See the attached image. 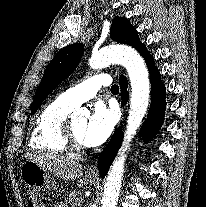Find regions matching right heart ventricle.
Segmentation results:
<instances>
[{
  "instance_id": "obj_1",
  "label": "right heart ventricle",
  "mask_w": 206,
  "mask_h": 207,
  "mask_svg": "<svg viewBox=\"0 0 206 207\" xmlns=\"http://www.w3.org/2000/svg\"><path fill=\"white\" fill-rule=\"evenodd\" d=\"M74 110L75 107L68 104L61 95L48 102L35 118L30 135V147L55 153L68 152L62 141L61 131Z\"/></svg>"
}]
</instances>
